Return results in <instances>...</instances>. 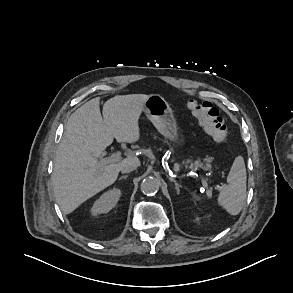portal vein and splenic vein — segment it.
I'll return each instance as SVG.
<instances>
[{"label": "portal vein and splenic vein", "mask_w": 293, "mask_h": 293, "mask_svg": "<svg viewBox=\"0 0 293 293\" xmlns=\"http://www.w3.org/2000/svg\"><path fill=\"white\" fill-rule=\"evenodd\" d=\"M121 159H122V157H121V155L119 153H113L109 157L101 158L100 163L101 164L116 163V162H119ZM202 184H203L204 187L208 186L207 182L204 179H202Z\"/></svg>", "instance_id": "1"}]
</instances>
